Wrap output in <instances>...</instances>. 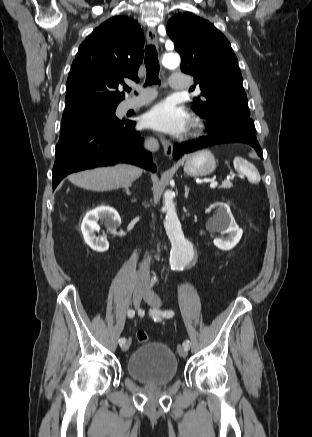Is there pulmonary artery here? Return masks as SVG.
I'll list each match as a JSON object with an SVG mask.
<instances>
[{
  "label": "pulmonary artery",
  "mask_w": 312,
  "mask_h": 437,
  "mask_svg": "<svg viewBox=\"0 0 312 437\" xmlns=\"http://www.w3.org/2000/svg\"><path fill=\"white\" fill-rule=\"evenodd\" d=\"M170 85L174 89H186L189 86V79L185 74L175 73L170 78ZM155 93L143 92L140 93L136 98L128 102V108H136L142 106L152 99H154Z\"/></svg>",
  "instance_id": "1"
}]
</instances>
